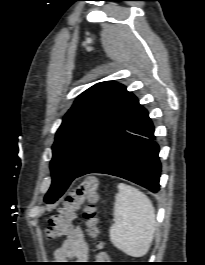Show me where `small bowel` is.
<instances>
[{
  "label": "small bowel",
  "instance_id": "1",
  "mask_svg": "<svg viewBox=\"0 0 205 265\" xmlns=\"http://www.w3.org/2000/svg\"><path fill=\"white\" fill-rule=\"evenodd\" d=\"M89 245L81 227L73 228L60 247L55 249L53 257L60 263L67 260H75L77 263H85L89 259Z\"/></svg>",
  "mask_w": 205,
  "mask_h": 265
}]
</instances>
